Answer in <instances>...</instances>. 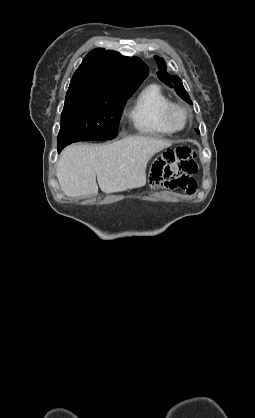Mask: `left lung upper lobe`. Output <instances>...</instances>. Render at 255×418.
<instances>
[{"label": "left lung upper lobe", "mask_w": 255, "mask_h": 418, "mask_svg": "<svg viewBox=\"0 0 255 418\" xmlns=\"http://www.w3.org/2000/svg\"><path fill=\"white\" fill-rule=\"evenodd\" d=\"M154 59L157 62V65L160 69V71L157 73L158 78L168 85L171 88H174L177 94L187 103L192 104V101L187 93V91L184 89L181 79L178 76L175 75H169L166 72V65L165 61L160 58L159 56H154ZM197 132H199L198 129H196Z\"/></svg>", "instance_id": "left-lung-upper-lobe-1"}]
</instances>
